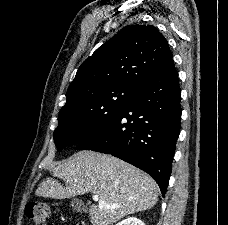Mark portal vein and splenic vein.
Here are the masks:
<instances>
[{"instance_id": "18ae733b", "label": "portal vein and splenic vein", "mask_w": 228, "mask_h": 225, "mask_svg": "<svg viewBox=\"0 0 228 225\" xmlns=\"http://www.w3.org/2000/svg\"><path fill=\"white\" fill-rule=\"evenodd\" d=\"M92 199H93V201H100L98 195H93ZM108 207H111V209H115V207H117V205H108Z\"/></svg>"}]
</instances>
